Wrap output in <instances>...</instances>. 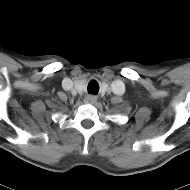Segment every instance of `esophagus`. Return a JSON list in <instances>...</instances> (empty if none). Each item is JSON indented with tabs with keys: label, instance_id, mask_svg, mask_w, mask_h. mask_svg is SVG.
<instances>
[{
	"label": "esophagus",
	"instance_id": "esophagus-1",
	"mask_svg": "<svg viewBox=\"0 0 190 190\" xmlns=\"http://www.w3.org/2000/svg\"><path fill=\"white\" fill-rule=\"evenodd\" d=\"M97 101V97L95 95H88L85 97V102L88 104H94Z\"/></svg>",
	"mask_w": 190,
	"mask_h": 190
}]
</instances>
